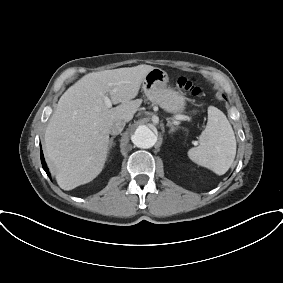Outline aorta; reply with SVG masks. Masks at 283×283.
Masks as SVG:
<instances>
[{"label":"aorta","instance_id":"obj_1","mask_svg":"<svg viewBox=\"0 0 283 283\" xmlns=\"http://www.w3.org/2000/svg\"><path fill=\"white\" fill-rule=\"evenodd\" d=\"M156 141L157 137L154 132L145 125L139 126L132 136L133 144L143 149L153 147Z\"/></svg>","mask_w":283,"mask_h":283}]
</instances>
